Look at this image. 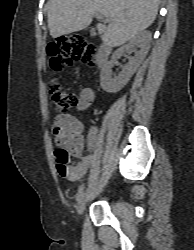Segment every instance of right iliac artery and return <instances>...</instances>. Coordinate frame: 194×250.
<instances>
[{"label":"right iliac artery","mask_w":194,"mask_h":250,"mask_svg":"<svg viewBox=\"0 0 194 250\" xmlns=\"http://www.w3.org/2000/svg\"><path fill=\"white\" fill-rule=\"evenodd\" d=\"M83 190H84V184H82L79 189H78V192H77V195H76V201H79V198L81 197V195L83 194Z\"/></svg>","instance_id":"1"}]
</instances>
